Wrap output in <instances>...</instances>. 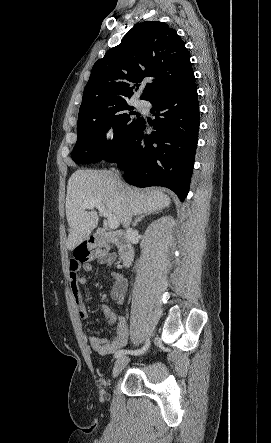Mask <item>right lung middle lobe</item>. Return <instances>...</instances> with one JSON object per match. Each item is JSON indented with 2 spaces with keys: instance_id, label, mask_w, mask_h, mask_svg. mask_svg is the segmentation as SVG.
<instances>
[{
  "instance_id": "1",
  "label": "right lung middle lobe",
  "mask_w": 271,
  "mask_h": 443,
  "mask_svg": "<svg viewBox=\"0 0 271 443\" xmlns=\"http://www.w3.org/2000/svg\"><path fill=\"white\" fill-rule=\"evenodd\" d=\"M128 110H133V107L125 105L101 117L78 119L77 142L72 159L76 163L112 160L125 137L142 121L141 118L133 119L131 115L134 112ZM111 126L115 130L114 139L107 142L105 134Z\"/></svg>"
}]
</instances>
